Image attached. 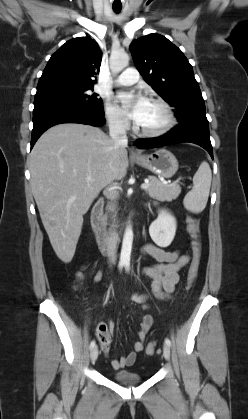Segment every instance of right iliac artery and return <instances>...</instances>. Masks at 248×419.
Here are the masks:
<instances>
[{"mask_svg":"<svg viewBox=\"0 0 248 419\" xmlns=\"http://www.w3.org/2000/svg\"><path fill=\"white\" fill-rule=\"evenodd\" d=\"M119 268L121 269L122 268V265H120ZM94 346H95V341L93 340L90 343V348L92 349Z\"/></svg>","mask_w":248,"mask_h":419,"instance_id":"1","label":"right iliac artery"}]
</instances>
